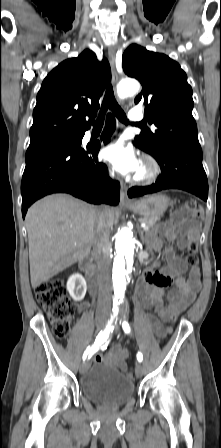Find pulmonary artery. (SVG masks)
Returning a JSON list of instances; mask_svg holds the SVG:
<instances>
[{
    "label": "pulmonary artery",
    "mask_w": 221,
    "mask_h": 448,
    "mask_svg": "<svg viewBox=\"0 0 221 448\" xmlns=\"http://www.w3.org/2000/svg\"><path fill=\"white\" fill-rule=\"evenodd\" d=\"M144 117V111L139 109H132L129 112V120L134 123H138Z\"/></svg>",
    "instance_id": "1"
}]
</instances>
